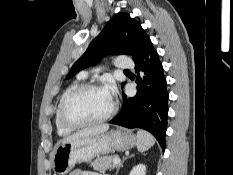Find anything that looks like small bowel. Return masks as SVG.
<instances>
[{
  "mask_svg": "<svg viewBox=\"0 0 233 175\" xmlns=\"http://www.w3.org/2000/svg\"><path fill=\"white\" fill-rule=\"evenodd\" d=\"M70 175H109V174L99 173L95 171H83V170L76 169L72 171Z\"/></svg>",
  "mask_w": 233,
  "mask_h": 175,
  "instance_id": "1",
  "label": "small bowel"
}]
</instances>
